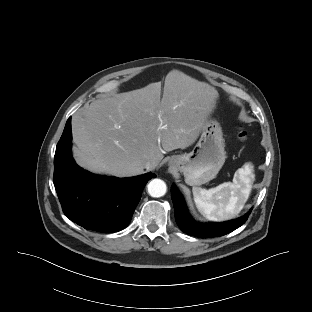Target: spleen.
<instances>
[{"instance_id":"1","label":"spleen","mask_w":312,"mask_h":312,"mask_svg":"<svg viewBox=\"0 0 312 312\" xmlns=\"http://www.w3.org/2000/svg\"><path fill=\"white\" fill-rule=\"evenodd\" d=\"M248 165L239 168L233 182H224L209 190L194 187V201L199 212L209 220L221 221L234 217L244 207L251 191Z\"/></svg>"}]
</instances>
